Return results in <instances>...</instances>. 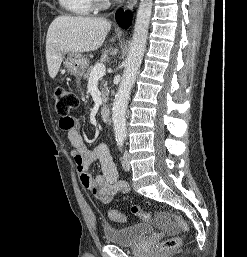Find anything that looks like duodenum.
Listing matches in <instances>:
<instances>
[{"label": "duodenum", "instance_id": "obj_1", "mask_svg": "<svg viewBox=\"0 0 247 257\" xmlns=\"http://www.w3.org/2000/svg\"><path fill=\"white\" fill-rule=\"evenodd\" d=\"M101 117L104 121H108L110 119L111 110L108 105H103L100 109Z\"/></svg>", "mask_w": 247, "mask_h": 257}]
</instances>
